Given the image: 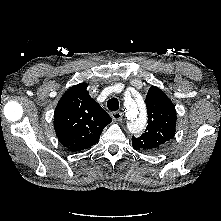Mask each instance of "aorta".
I'll return each instance as SVG.
<instances>
[{"label":"aorta","mask_w":221,"mask_h":221,"mask_svg":"<svg viewBox=\"0 0 221 221\" xmlns=\"http://www.w3.org/2000/svg\"><path fill=\"white\" fill-rule=\"evenodd\" d=\"M124 109L129 130L132 133L140 132L146 124V112L143 105L139 104L131 96H126Z\"/></svg>","instance_id":"762f6f07"}]
</instances>
